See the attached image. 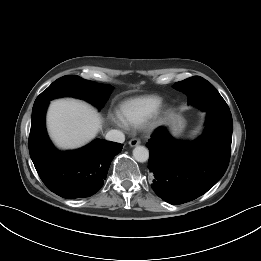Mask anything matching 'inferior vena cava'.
<instances>
[{"label": "inferior vena cava", "mask_w": 261, "mask_h": 261, "mask_svg": "<svg viewBox=\"0 0 261 261\" xmlns=\"http://www.w3.org/2000/svg\"><path fill=\"white\" fill-rule=\"evenodd\" d=\"M106 140L117 143H123L125 141V135L119 130H110L106 134Z\"/></svg>", "instance_id": "inferior-vena-cava-1"}]
</instances>
